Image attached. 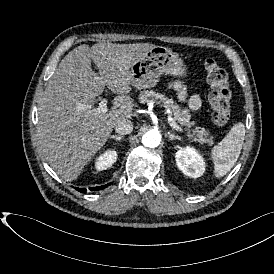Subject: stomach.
<instances>
[{"instance_id": "stomach-1", "label": "stomach", "mask_w": 274, "mask_h": 274, "mask_svg": "<svg viewBox=\"0 0 274 274\" xmlns=\"http://www.w3.org/2000/svg\"><path fill=\"white\" fill-rule=\"evenodd\" d=\"M136 81L135 87L143 90L154 87L162 75H169L181 79L183 84L190 81V72L184 60L170 48L156 46L147 53L143 61L132 67Z\"/></svg>"}]
</instances>
